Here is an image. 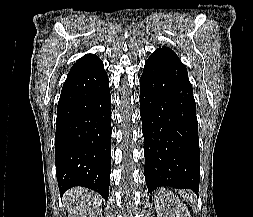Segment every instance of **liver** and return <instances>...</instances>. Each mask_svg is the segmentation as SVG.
Masks as SVG:
<instances>
[{
	"label": "liver",
	"instance_id": "1",
	"mask_svg": "<svg viewBox=\"0 0 253 217\" xmlns=\"http://www.w3.org/2000/svg\"><path fill=\"white\" fill-rule=\"evenodd\" d=\"M63 201L74 217H97L101 212L100 195L86 188L74 187L68 190L63 195Z\"/></svg>",
	"mask_w": 253,
	"mask_h": 217
}]
</instances>
